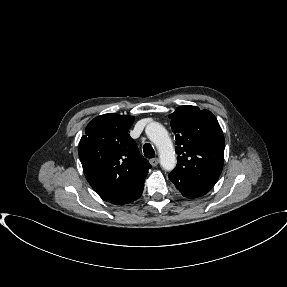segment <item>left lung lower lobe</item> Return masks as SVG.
Segmentation results:
<instances>
[{"mask_svg": "<svg viewBox=\"0 0 287 287\" xmlns=\"http://www.w3.org/2000/svg\"><path fill=\"white\" fill-rule=\"evenodd\" d=\"M183 196H185L187 198H197V197H192V196H188V195H183Z\"/></svg>", "mask_w": 287, "mask_h": 287, "instance_id": "1", "label": "left lung lower lobe"}]
</instances>
